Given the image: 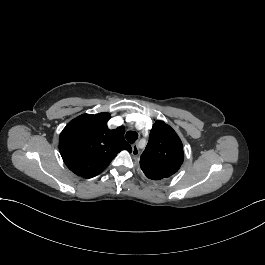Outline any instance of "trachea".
I'll return each instance as SVG.
<instances>
[{
  "mask_svg": "<svg viewBox=\"0 0 265 265\" xmlns=\"http://www.w3.org/2000/svg\"><path fill=\"white\" fill-rule=\"evenodd\" d=\"M138 138V133L135 131H128L126 133V139L129 143H134Z\"/></svg>",
  "mask_w": 265,
  "mask_h": 265,
  "instance_id": "3493384b",
  "label": "trachea"
}]
</instances>
